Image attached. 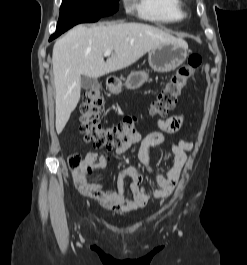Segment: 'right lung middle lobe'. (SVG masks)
<instances>
[{
	"mask_svg": "<svg viewBox=\"0 0 247 265\" xmlns=\"http://www.w3.org/2000/svg\"><path fill=\"white\" fill-rule=\"evenodd\" d=\"M119 0H62L59 20L73 17H96L115 13Z\"/></svg>",
	"mask_w": 247,
	"mask_h": 265,
	"instance_id": "1",
	"label": "right lung middle lobe"
}]
</instances>
